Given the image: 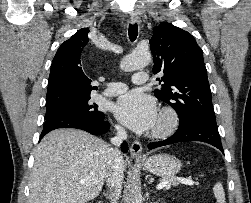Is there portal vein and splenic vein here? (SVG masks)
<instances>
[{"label": "portal vein and splenic vein", "instance_id": "portal-vein-and-splenic-vein-1", "mask_svg": "<svg viewBox=\"0 0 251 203\" xmlns=\"http://www.w3.org/2000/svg\"><path fill=\"white\" fill-rule=\"evenodd\" d=\"M177 180L179 182H181L182 184H185V185H189V186H193L194 185V182L192 180H188V179H185V178H177ZM168 184V181H164V182H161L157 185L156 189L157 190H161L163 189L164 187H166Z\"/></svg>", "mask_w": 251, "mask_h": 203}]
</instances>
